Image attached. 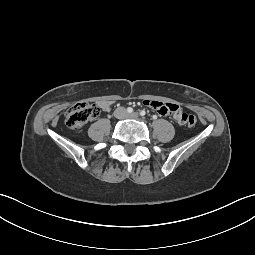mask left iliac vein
Instances as JSON below:
<instances>
[{"label":"left iliac vein","instance_id":"left-iliac-vein-1","mask_svg":"<svg viewBox=\"0 0 255 255\" xmlns=\"http://www.w3.org/2000/svg\"><path fill=\"white\" fill-rule=\"evenodd\" d=\"M126 118L138 119V118H139V114H138V113L127 114V115H126Z\"/></svg>","mask_w":255,"mask_h":255}]
</instances>
